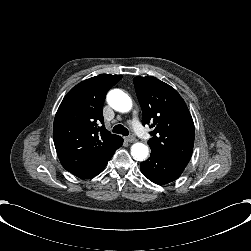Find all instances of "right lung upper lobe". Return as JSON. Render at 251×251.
Listing matches in <instances>:
<instances>
[{
    "label": "right lung upper lobe",
    "mask_w": 251,
    "mask_h": 251,
    "mask_svg": "<svg viewBox=\"0 0 251 251\" xmlns=\"http://www.w3.org/2000/svg\"><path fill=\"white\" fill-rule=\"evenodd\" d=\"M121 78L100 74L80 82L64 97L55 115L53 139L59 160L81 179L100 173L123 143L122 137L105 129L103 120L106 93Z\"/></svg>",
    "instance_id": "right-lung-upper-lobe-1"
}]
</instances>
